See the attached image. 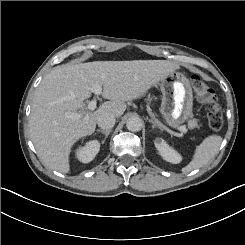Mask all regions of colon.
<instances>
[{"label":"colon","mask_w":245,"mask_h":245,"mask_svg":"<svg viewBox=\"0 0 245 245\" xmlns=\"http://www.w3.org/2000/svg\"><path fill=\"white\" fill-rule=\"evenodd\" d=\"M192 85L199 101L206 108V117L211 129L219 130L223 126V113L216 100L214 90L198 75L192 76Z\"/></svg>","instance_id":"colon-1"}]
</instances>
